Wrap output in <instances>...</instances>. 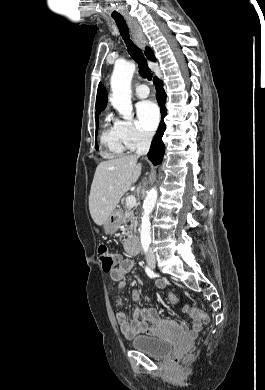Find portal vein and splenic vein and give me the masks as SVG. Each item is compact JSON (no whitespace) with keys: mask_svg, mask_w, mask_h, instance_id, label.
<instances>
[{"mask_svg":"<svg viewBox=\"0 0 265 390\" xmlns=\"http://www.w3.org/2000/svg\"><path fill=\"white\" fill-rule=\"evenodd\" d=\"M135 205H136V198H135V196H128L126 198V206L132 208Z\"/></svg>","mask_w":265,"mask_h":390,"instance_id":"portal-vein-and-splenic-vein-1","label":"portal vein and splenic vein"}]
</instances>
